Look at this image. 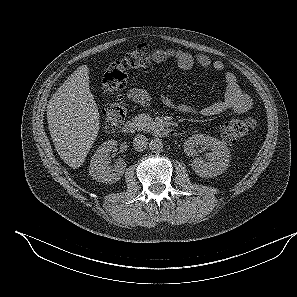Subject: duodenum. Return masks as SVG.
<instances>
[{"label":"duodenum","instance_id":"1","mask_svg":"<svg viewBox=\"0 0 297 297\" xmlns=\"http://www.w3.org/2000/svg\"><path fill=\"white\" fill-rule=\"evenodd\" d=\"M138 128H139L138 121L130 119L122 125L121 132L123 134H134L135 132H137ZM171 132H172L171 129L163 128V127H156L154 130V133L161 137L168 136Z\"/></svg>","mask_w":297,"mask_h":297}]
</instances>
